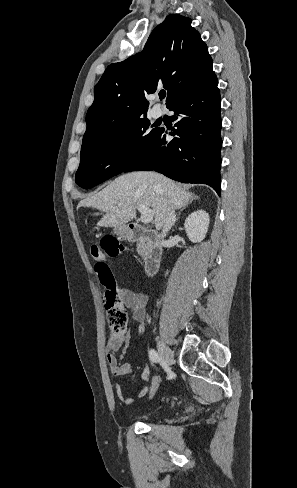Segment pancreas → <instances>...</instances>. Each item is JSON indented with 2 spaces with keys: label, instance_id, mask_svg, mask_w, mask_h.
<instances>
[{
  "label": "pancreas",
  "instance_id": "cf45deb5",
  "mask_svg": "<svg viewBox=\"0 0 297 488\" xmlns=\"http://www.w3.org/2000/svg\"><path fill=\"white\" fill-rule=\"evenodd\" d=\"M146 250H147V245L145 243H139L137 245V252L140 256L145 257L146 256Z\"/></svg>",
  "mask_w": 297,
  "mask_h": 488
}]
</instances>
